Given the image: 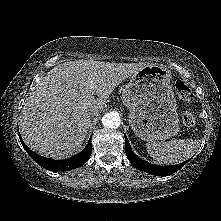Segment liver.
Here are the masks:
<instances>
[{
	"label": "liver",
	"instance_id": "obj_1",
	"mask_svg": "<svg viewBox=\"0 0 221 221\" xmlns=\"http://www.w3.org/2000/svg\"><path fill=\"white\" fill-rule=\"evenodd\" d=\"M144 66L93 60L56 65L24 103L19 119L24 142L46 157L72 156L87 136L90 111L100 112L113 90Z\"/></svg>",
	"mask_w": 221,
	"mask_h": 221
}]
</instances>
